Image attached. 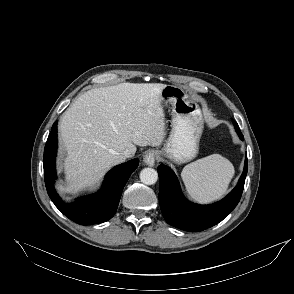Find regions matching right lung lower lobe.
I'll list each match as a JSON object with an SVG mask.
<instances>
[{
  "instance_id": "1",
  "label": "right lung lower lobe",
  "mask_w": 294,
  "mask_h": 294,
  "mask_svg": "<svg viewBox=\"0 0 294 294\" xmlns=\"http://www.w3.org/2000/svg\"><path fill=\"white\" fill-rule=\"evenodd\" d=\"M57 149V123L52 126L44 149V178L49 197L55 206L69 219L81 225L102 223L116 213L122 190L139 164L138 159L120 164L110 170L104 186L96 194L81 197L75 204H65L54 189L56 179L55 157Z\"/></svg>"
}]
</instances>
